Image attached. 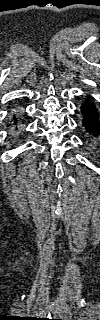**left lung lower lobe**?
I'll use <instances>...</instances> for the list:
<instances>
[{
	"label": "left lung lower lobe",
	"mask_w": 100,
	"mask_h": 320,
	"mask_svg": "<svg viewBox=\"0 0 100 320\" xmlns=\"http://www.w3.org/2000/svg\"><path fill=\"white\" fill-rule=\"evenodd\" d=\"M81 113L83 116L82 126L87 133L90 144L94 145L96 141L100 140V113L90 97L81 105Z\"/></svg>",
	"instance_id": "left-lung-lower-lobe-1"
}]
</instances>
